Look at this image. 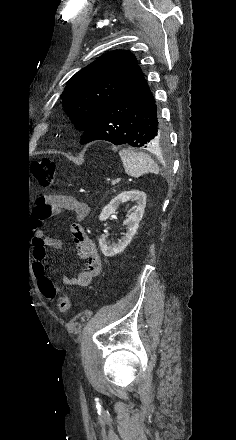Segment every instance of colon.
Returning a JSON list of instances; mask_svg holds the SVG:
<instances>
[{"instance_id": "1", "label": "colon", "mask_w": 236, "mask_h": 440, "mask_svg": "<svg viewBox=\"0 0 236 440\" xmlns=\"http://www.w3.org/2000/svg\"><path fill=\"white\" fill-rule=\"evenodd\" d=\"M34 176L42 187H50L55 176V163L52 159L41 158L34 165ZM40 292L49 300L56 301L60 312L68 313L71 309V302L67 295L62 294L46 276L39 283Z\"/></svg>"}]
</instances>
